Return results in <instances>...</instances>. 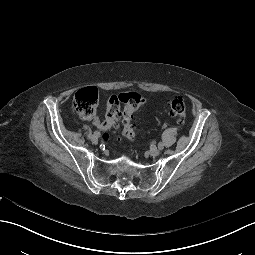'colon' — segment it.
<instances>
[{"label": "colon", "instance_id": "obj_1", "mask_svg": "<svg viewBox=\"0 0 255 255\" xmlns=\"http://www.w3.org/2000/svg\"><path fill=\"white\" fill-rule=\"evenodd\" d=\"M143 97L137 92H125L113 95L107 102L104 121L101 126L104 131L110 132L121 119L124 135L128 139L135 137L134 113L143 104ZM98 103V92L95 88H83L76 92L73 98V107L85 119L95 116ZM121 104H124L121 108ZM170 113L177 122L182 123L186 117V106L179 96L169 101Z\"/></svg>", "mask_w": 255, "mask_h": 255}]
</instances>
